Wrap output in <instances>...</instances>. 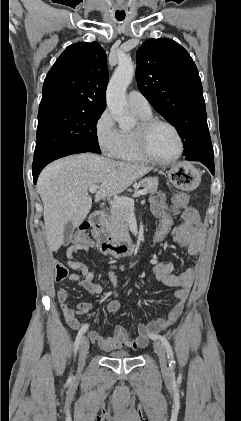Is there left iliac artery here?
<instances>
[{
    "label": "left iliac artery",
    "mask_w": 241,
    "mask_h": 421,
    "mask_svg": "<svg viewBox=\"0 0 241 421\" xmlns=\"http://www.w3.org/2000/svg\"><path fill=\"white\" fill-rule=\"evenodd\" d=\"M153 338L160 340L161 343L164 345L165 350L167 352V357L169 359V366H170L171 369H173L174 366H175V360H174L172 347H171L170 343L168 342L167 338L165 336H161V335H157Z\"/></svg>",
    "instance_id": "left-iliac-artery-1"
}]
</instances>
